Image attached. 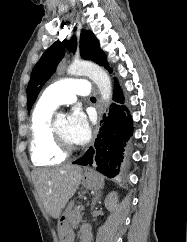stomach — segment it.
Wrapping results in <instances>:
<instances>
[{"instance_id":"obj_1","label":"stomach","mask_w":187,"mask_h":242,"mask_svg":"<svg viewBox=\"0 0 187 242\" xmlns=\"http://www.w3.org/2000/svg\"><path fill=\"white\" fill-rule=\"evenodd\" d=\"M81 183L89 190H99L104 185L102 177L95 171H86L81 177ZM73 205L74 203L71 202L58 219L60 242H73L74 240V231L71 224V220L73 219Z\"/></svg>"}]
</instances>
